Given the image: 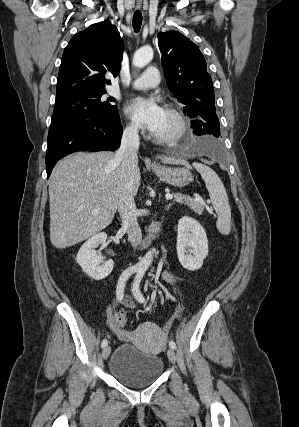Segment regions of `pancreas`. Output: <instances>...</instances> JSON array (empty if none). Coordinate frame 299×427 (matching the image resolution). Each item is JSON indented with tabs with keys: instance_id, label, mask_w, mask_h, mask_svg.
I'll return each instance as SVG.
<instances>
[{
	"instance_id": "cf45deb5",
	"label": "pancreas",
	"mask_w": 299,
	"mask_h": 427,
	"mask_svg": "<svg viewBox=\"0 0 299 427\" xmlns=\"http://www.w3.org/2000/svg\"><path fill=\"white\" fill-rule=\"evenodd\" d=\"M174 201L179 204L187 205L192 211H194L198 215H202L204 211L205 203L203 202V200L197 201L183 194L175 193Z\"/></svg>"
}]
</instances>
